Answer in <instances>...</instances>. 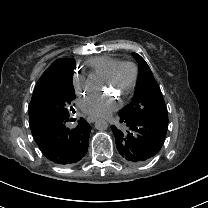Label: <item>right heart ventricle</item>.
I'll list each match as a JSON object with an SVG mask.
<instances>
[{"instance_id": "right-heart-ventricle-1", "label": "right heart ventricle", "mask_w": 208, "mask_h": 208, "mask_svg": "<svg viewBox=\"0 0 208 208\" xmlns=\"http://www.w3.org/2000/svg\"><path fill=\"white\" fill-rule=\"evenodd\" d=\"M119 62L118 59L110 56H100L90 59L87 64L104 78L112 72Z\"/></svg>"}]
</instances>
